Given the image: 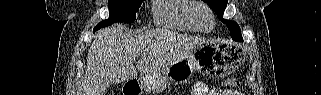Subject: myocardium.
<instances>
[{
    "mask_svg": "<svg viewBox=\"0 0 321 95\" xmlns=\"http://www.w3.org/2000/svg\"><path fill=\"white\" fill-rule=\"evenodd\" d=\"M204 14L207 19L209 20V25L205 26L201 22V14ZM193 20L197 26V28L202 32H210L214 29L215 26V20H214V14L212 10L204 3L199 2L195 6L193 10Z\"/></svg>",
    "mask_w": 321,
    "mask_h": 95,
    "instance_id": "f54148a6",
    "label": "myocardium"
}]
</instances>
